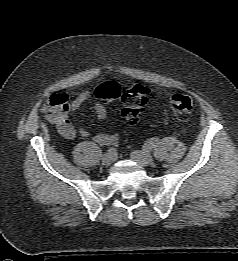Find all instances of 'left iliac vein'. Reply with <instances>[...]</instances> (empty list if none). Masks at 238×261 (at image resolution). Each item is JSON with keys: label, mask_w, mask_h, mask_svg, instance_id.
I'll list each match as a JSON object with an SVG mask.
<instances>
[{"label": "left iliac vein", "mask_w": 238, "mask_h": 261, "mask_svg": "<svg viewBox=\"0 0 238 261\" xmlns=\"http://www.w3.org/2000/svg\"><path fill=\"white\" fill-rule=\"evenodd\" d=\"M131 158L141 166L153 164V157L144 151L134 150L131 152Z\"/></svg>", "instance_id": "obj_1"}]
</instances>
